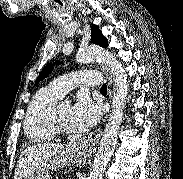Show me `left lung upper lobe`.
Instances as JSON below:
<instances>
[{
  "mask_svg": "<svg viewBox=\"0 0 183 179\" xmlns=\"http://www.w3.org/2000/svg\"><path fill=\"white\" fill-rule=\"evenodd\" d=\"M91 41L100 46L107 47V39L102 35V32L97 25H93L91 28ZM57 64H59V62ZM52 69V64L44 67L40 72L35 84L37 85L40 80L46 78Z\"/></svg>",
  "mask_w": 183,
  "mask_h": 179,
  "instance_id": "left-lung-upper-lobe-1",
  "label": "left lung upper lobe"
}]
</instances>
